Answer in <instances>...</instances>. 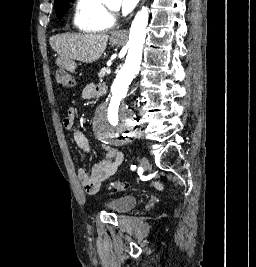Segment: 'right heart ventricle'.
Here are the masks:
<instances>
[{"mask_svg": "<svg viewBox=\"0 0 256 267\" xmlns=\"http://www.w3.org/2000/svg\"><path fill=\"white\" fill-rule=\"evenodd\" d=\"M79 8L86 15L82 22H75L85 36H106L101 31L102 22L107 11L106 0H79Z\"/></svg>", "mask_w": 256, "mask_h": 267, "instance_id": "e07e8e85", "label": "right heart ventricle"}]
</instances>
